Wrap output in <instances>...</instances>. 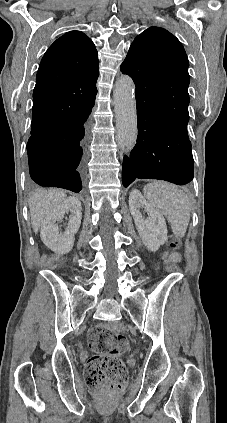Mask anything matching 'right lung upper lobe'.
Wrapping results in <instances>:
<instances>
[{"label": "right lung upper lobe", "mask_w": 227, "mask_h": 423, "mask_svg": "<svg viewBox=\"0 0 227 423\" xmlns=\"http://www.w3.org/2000/svg\"><path fill=\"white\" fill-rule=\"evenodd\" d=\"M98 53L82 32L70 31L58 38L43 56L36 77L33 100L66 101L95 96L99 75ZM54 124L32 125L31 136H40Z\"/></svg>", "instance_id": "obj_1"}]
</instances>
